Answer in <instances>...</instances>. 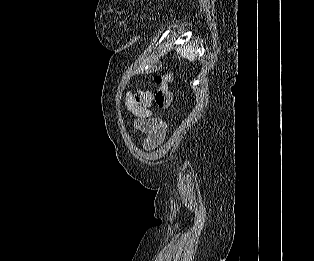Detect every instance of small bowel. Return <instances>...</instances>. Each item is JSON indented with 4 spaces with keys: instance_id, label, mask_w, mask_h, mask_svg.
Returning <instances> with one entry per match:
<instances>
[{
    "instance_id": "obj_1",
    "label": "small bowel",
    "mask_w": 314,
    "mask_h": 261,
    "mask_svg": "<svg viewBox=\"0 0 314 261\" xmlns=\"http://www.w3.org/2000/svg\"><path fill=\"white\" fill-rule=\"evenodd\" d=\"M151 102L152 94L149 91H139L126 98L128 109L137 117L135 127L146 134L144 146L147 149L159 146L164 141L167 131L165 123L152 116Z\"/></svg>"
}]
</instances>
